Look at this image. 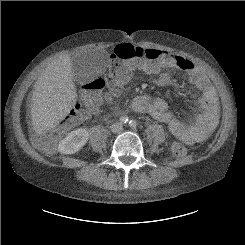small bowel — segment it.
Wrapping results in <instances>:
<instances>
[{"instance_id":"c3829d8e","label":"small bowel","mask_w":245,"mask_h":245,"mask_svg":"<svg viewBox=\"0 0 245 245\" xmlns=\"http://www.w3.org/2000/svg\"><path fill=\"white\" fill-rule=\"evenodd\" d=\"M145 55L147 60L154 64L153 68L150 69L144 63L135 66L134 69L156 74L154 82L160 87H176V83L170 76V70L173 68L181 70L201 92L198 108L195 120L191 125L186 124L178 115L172 112L167 102L159 97L152 98L149 95H141L132 102L133 110L138 113L149 114L153 118L165 123L175 136L187 143H198L207 139L216 128L219 120L217 93L207 76L191 60L184 56L165 53L155 48L146 49ZM55 76L66 77V74L57 72ZM121 87L122 85L116 90H111L110 96H117L120 93ZM106 100V97L102 94L101 103Z\"/></svg>"}]
</instances>
